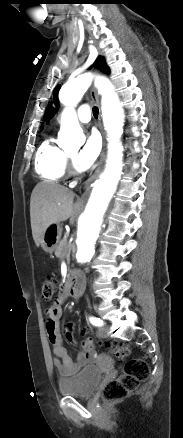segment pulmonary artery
I'll return each instance as SVG.
<instances>
[{
  "label": "pulmonary artery",
  "instance_id": "pulmonary-artery-1",
  "mask_svg": "<svg viewBox=\"0 0 183 438\" xmlns=\"http://www.w3.org/2000/svg\"><path fill=\"white\" fill-rule=\"evenodd\" d=\"M77 118L82 123H88L91 119V110L88 105L83 104L78 108Z\"/></svg>",
  "mask_w": 183,
  "mask_h": 438
}]
</instances>
